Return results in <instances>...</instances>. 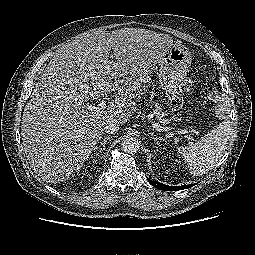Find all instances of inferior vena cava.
Masks as SVG:
<instances>
[{"instance_id":"inferior-vena-cava-1","label":"inferior vena cava","mask_w":255,"mask_h":255,"mask_svg":"<svg viewBox=\"0 0 255 255\" xmlns=\"http://www.w3.org/2000/svg\"><path fill=\"white\" fill-rule=\"evenodd\" d=\"M104 130L107 134H115L119 130V124L110 120L105 124Z\"/></svg>"}]
</instances>
